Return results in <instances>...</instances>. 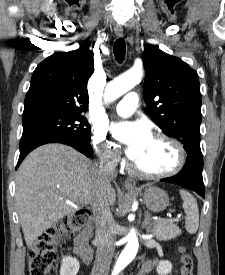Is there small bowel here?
I'll list each match as a JSON object with an SVG mask.
<instances>
[{
    "mask_svg": "<svg viewBox=\"0 0 225 275\" xmlns=\"http://www.w3.org/2000/svg\"><path fill=\"white\" fill-rule=\"evenodd\" d=\"M154 264L155 261L145 263L139 275H146L148 272L151 271Z\"/></svg>",
    "mask_w": 225,
    "mask_h": 275,
    "instance_id": "small-bowel-1",
    "label": "small bowel"
}]
</instances>
